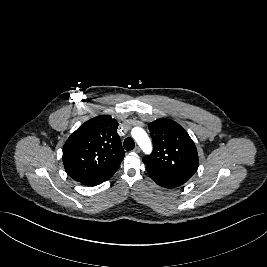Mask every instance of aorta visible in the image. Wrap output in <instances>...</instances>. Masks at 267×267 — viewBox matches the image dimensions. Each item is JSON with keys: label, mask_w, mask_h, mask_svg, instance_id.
<instances>
[{"label": "aorta", "mask_w": 267, "mask_h": 267, "mask_svg": "<svg viewBox=\"0 0 267 267\" xmlns=\"http://www.w3.org/2000/svg\"><path fill=\"white\" fill-rule=\"evenodd\" d=\"M132 137L138 143L145 154H150L152 151V144L147 133L140 127L132 129Z\"/></svg>", "instance_id": "obj_1"}]
</instances>
